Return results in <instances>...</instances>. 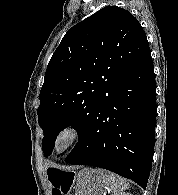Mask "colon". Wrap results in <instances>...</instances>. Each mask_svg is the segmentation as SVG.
<instances>
[{"mask_svg": "<svg viewBox=\"0 0 178 195\" xmlns=\"http://www.w3.org/2000/svg\"><path fill=\"white\" fill-rule=\"evenodd\" d=\"M72 180H73V176H72V174H69V176L66 179L64 185L61 186L62 187L61 190H60L61 195H65L69 191Z\"/></svg>", "mask_w": 178, "mask_h": 195, "instance_id": "5ec220e1", "label": "colon"}]
</instances>
